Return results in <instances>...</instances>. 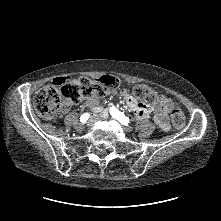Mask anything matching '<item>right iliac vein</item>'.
I'll list each match as a JSON object with an SVG mask.
<instances>
[{
	"label": "right iliac vein",
	"mask_w": 221,
	"mask_h": 221,
	"mask_svg": "<svg viewBox=\"0 0 221 221\" xmlns=\"http://www.w3.org/2000/svg\"><path fill=\"white\" fill-rule=\"evenodd\" d=\"M75 128L76 130L81 131L83 129V125L79 123L75 126Z\"/></svg>",
	"instance_id": "63e3f726"
}]
</instances>
